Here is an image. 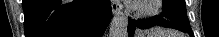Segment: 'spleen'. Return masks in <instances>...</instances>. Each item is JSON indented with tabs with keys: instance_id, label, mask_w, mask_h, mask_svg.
I'll return each instance as SVG.
<instances>
[{
	"instance_id": "spleen-1",
	"label": "spleen",
	"mask_w": 219,
	"mask_h": 37,
	"mask_svg": "<svg viewBox=\"0 0 219 37\" xmlns=\"http://www.w3.org/2000/svg\"><path fill=\"white\" fill-rule=\"evenodd\" d=\"M159 34L163 35V37H170V36L165 35L164 33H161V32H159ZM171 37H173V36H171ZM176 37H181V36H176Z\"/></svg>"
}]
</instances>
